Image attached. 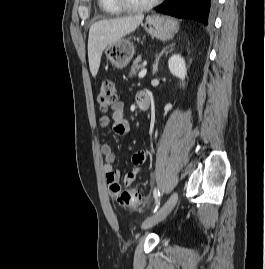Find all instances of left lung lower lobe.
I'll list each match as a JSON object with an SVG mask.
<instances>
[{
	"instance_id": "left-lung-lower-lobe-1",
	"label": "left lung lower lobe",
	"mask_w": 265,
	"mask_h": 269,
	"mask_svg": "<svg viewBox=\"0 0 265 269\" xmlns=\"http://www.w3.org/2000/svg\"><path fill=\"white\" fill-rule=\"evenodd\" d=\"M156 11L208 25L216 11V0H169Z\"/></svg>"
}]
</instances>
